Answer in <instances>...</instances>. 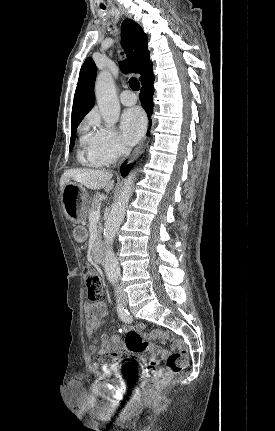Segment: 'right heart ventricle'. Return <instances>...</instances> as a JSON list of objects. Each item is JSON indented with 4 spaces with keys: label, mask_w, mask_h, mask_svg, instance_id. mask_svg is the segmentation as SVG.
<instances>
[{
    "label": "right heart ventricle",
    "mask_w": 275,
    "mask_h": 431,
    "mask_svg": "<svg viewBox=\"0 0 275 431\" xmlns=\"http://www.w3.org/2000/svg\"><path fill=\"white\" fill-rule=\"evenodd\" d=\"M83 160H84L86 163H88L90 166H93V167H99V166H104V165H105L104 163H101V162H98V161L91 160V159L88 157V155H87L85 158H83Z\"/></svg>",
    "instance_id": "obj_1"
}]
</instances>
